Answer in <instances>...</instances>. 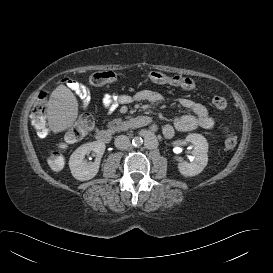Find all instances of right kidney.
<instances>
[{
	"instance_id": "ca27d5eb",
	"label": "right kidney",
	"mask_w": 273,
	"mask_h": 273,
	"mask_svg": "<svg viewBox=\"0 0 273 273\" xmlns=\"http://www.w3.org/2000/svg\"><path fill=\"white\" fill-rule=\"evenodd\" d=\"M105 144L101 141H93L78 147L70 156L69 167L73 177L79 181L90 180L99 171L101 158L105 151ZM94 152L96 157L93 163H87L85 156Z\"/></svg>"
}]
</instances>
